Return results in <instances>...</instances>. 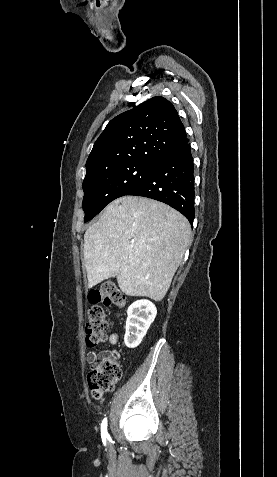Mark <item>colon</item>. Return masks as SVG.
<instances>
[{"label":"colon","instance_id":"1","mask_svg":"<svg viewBox=\"0 0 277 477\" xmlns=\"http://www.w3.org/2000/svg\"><path fill=\"white\" fill-rule=\"evenodd\" d=\"M86 316V340L89 346H96L106 339L108 321L104 307L125 306L124 294L112 282L102 285L99 290L90 292ZM122 376L119 354L111 352L91 364L88 373V386L94 399H101L112 390Z\"/></svg>","mask_w":277,"mask_h":477}]
</instances>
